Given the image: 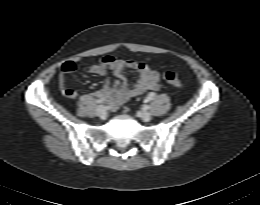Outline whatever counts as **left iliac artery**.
<instances>
[{
	"instance_id": "obj_1",
	"label": "left iliac artery",
	"mask_w": 260,
	"mask_h": 205,
	"mask_svg": "<svg viewBox=\"0 0 260 205\" xmlns=\"http://www.w3.org/2000/svg\"><path fill=\"white\" fill-rule=\"evenodd\" d=\"M145 101H149V100L146 99ZM149 108H150L149 105H145V106H144V109H145V110H148Z\"/></svg>"
}]
</instances>
